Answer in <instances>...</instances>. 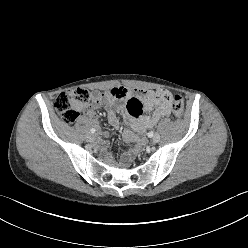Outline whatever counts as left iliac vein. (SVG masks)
<instances>
[{"mask_svg":"<svg viewBox=\"0 0 248 248\" xmlns=\"http://www.w3.org/2000/svg\"><path fill=\"white\" fill-rule=\"evenodd\" d=\"M160 141V135L159 134H155L152 138V142L153 143H158Z\"/></svg>","mask_w":248,"mask_h":248,"instance_id":"obj_1","label":"left iliac vein"}]
</instances>
